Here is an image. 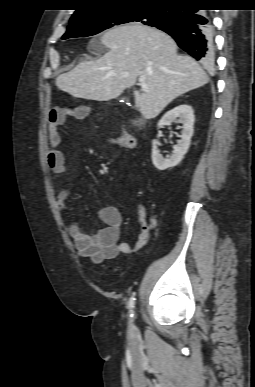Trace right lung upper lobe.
I'll return each instance as SVG.
<instances>
[{"label": "right lung upper lobe", "mask_w": 255, "mask_h": 387, "mask_svg": "<svg viewBox=\"0 0 255 387\" xmlns=\"http://www.w3.org/2000/svg\"><path fill=\"white\" fill-rule=\"evenodd\" d=\"M200 0H78L79 8L72 15L70 22L101 11L122 6H163L177 7L180 5L199 3Z\"/></svg>", "instance_id": "1"}]
</instances>
